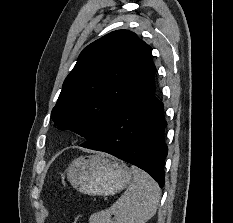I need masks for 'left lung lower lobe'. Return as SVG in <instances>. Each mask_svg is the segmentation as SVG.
Returning a JSON list of instances; mask_svg holds the SVG:
<instances>
[{
  "instance_id": "left-lung-lower-lobe-1",
  "label": "left lung lower lobe",
  "mask_w": 233,
  "mask_h": 223,
  "mask_svg": "<svg viewBox=\"0 0 233 223\" xmlns=\"http://www.w3.org/2000/svg\"><path fill=\"white\" fill-rule=\"evenodd\" d=\"M155 66L138 89L83 147L107 152L149 173L162 188L168 148L163 103L155 97Z\"/></svg>"
}]
</instances>
